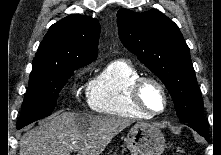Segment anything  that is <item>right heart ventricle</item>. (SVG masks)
Segmentation results:
<instances>
[{"instance_id":"obj_1","label":"right heart ventricle","mask_w":221,"mask_h":155,"mask_svg":"<svg viewBox=\"0 0 221 155\" xmlns=\"http://www.w3.org/2000/svg\"><path fill=\"white\" fill-rule=\"evenodd\" d=\"M141 77L140 72L126 60H115L107 64L91 81L88 89V104L100 114L147 118L132 103L130 90Z\"/></svg>"}]
</instances>
